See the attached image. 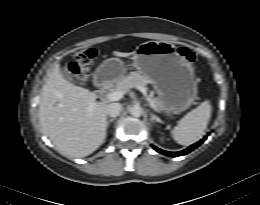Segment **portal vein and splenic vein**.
<instances>
[{
  "label": "portal vein and splenic vein",
  "instance_id": "obj_1",
  "mask_svg": "<svg viewBox=\"0 0 260 205\" xmlns=\"http://www.w3.org/2000/svg\"><path fill=\"white\" fill-rule=\"evenodd\" d=\"M136 88L141 91L145 96H146V99L147 101L149 102L150 106L155 110L157 111V108L155 107L154 103L152 102V100L147 96V93H146V89L140 85H137ZM124 93L122 91H114L110 94L107 95V98L110 100V101H119L122 97H123Z\"/></svg>",
  "mask_w": 260,
  "mask_h": 205
}]
</instances>
